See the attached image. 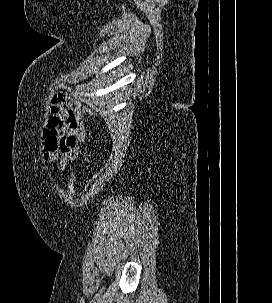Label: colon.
<instances>
[{"instance_id":"obj_1","label":"colon","mask_w":272,"mask_h":303,"mask_svg":"<svg viewBox=\"0 0 272 303\" xmlns=\"http://www.w3.org/2000/svg\"><path fill=\"white\" fill-rule=\"evenodd\" d=\"M84 114L87 117H90V118L94 116L93 110L91 108H89V107H86L84 109ZM74 185H75V172H72L71 175H70L69 182H68V187H69L70 191H73Z\"/></svg>"}]
</instances>
